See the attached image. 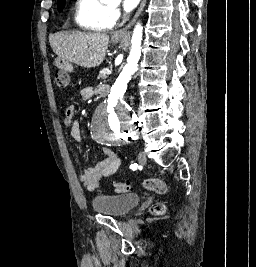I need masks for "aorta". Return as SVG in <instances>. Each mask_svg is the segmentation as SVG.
I'll list each match as a JSON object with an SVG mask.
<instances>
[{
  "mask_svg": "<svg viewBox=\"0 0 256 267\" xmlns=\"http://www.w3.org/2000/svg\"><path fill=\"white\" fill-rule=\"evenodd\" d=\"M142 26L137 24L131 40V50L123 70L136 72L141 56ZM137 42L138 52L134 54V42ZM135 48V50H136ZM122 72L114 82V89L108 95L107 101H100L99 108H95L92 127H133L134 117L132 108L123 104L122 94L130 82L132 73ZM122 133H128V128H89V138H94V143H128V138H122Z\"/></svg>",
  "mask_w": 256,
  "mask_h": 267,
  "instance_id": "obj_1",
  "label": "aorta"
}]
</instances>
